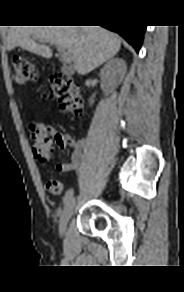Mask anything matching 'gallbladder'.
<instances>
[{
    "label": "gallbladder",
    "mask_w": 184,
    "mask_h": 292,
    "mask_svg": "<svg viewBox=\"0 0 184 292\" xmlns=\"http://www.w3.org/2000/svg\"><path fill=\"white\" fill-rule=\"evenodd\" d=\"M63 72H64L65 74H69V72H68L67 69H63Z\"/></svg>",
    "instance_id": "obj_1"
}]
</instances>
